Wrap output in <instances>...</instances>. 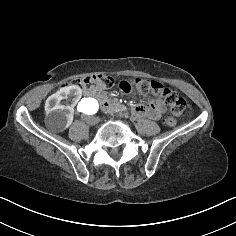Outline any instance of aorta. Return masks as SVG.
I'll use <instances>...</instances> for the list:
<instances>
[{
  "mask_svg": "<svg viewBox=\"0 0 236 236\" xmlns=\"http://www.w3.org/2000/svg\"><path fill=\"white\" fill-rule=\"evenodd\" d=\"M99 104L94 98H85L80 105V112L83 116H90L98 112Z\"/></svg>",
  "mask_w": 236,
  "mask_h": 236,
  "instance_id": "1",
  "label": "aorta"
}]
</instances>
